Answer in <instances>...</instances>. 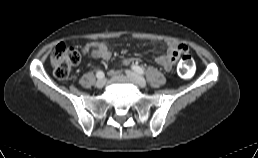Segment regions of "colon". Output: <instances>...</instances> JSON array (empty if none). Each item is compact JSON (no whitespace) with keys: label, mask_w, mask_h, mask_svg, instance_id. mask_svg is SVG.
<instances>
[{"label":"colon","mask_w":258,"mask_h":158,"mask_svg":"<svg viewBox=\"0 0 258 158\" xmlns=\"http://www.w3.org/2000/svg\"><path fill=\"white\" fill-rule=\"evenodd\" d=\"M88 48H79L72 45L61 43L56 46L51 55V65L54 75L61 80L68 78L74 66H76ZM194 63L189 55H184L179 66L178 73L183 78H189L193 73Z\"/></svg>","instance_id":"1"}]
</instances>
